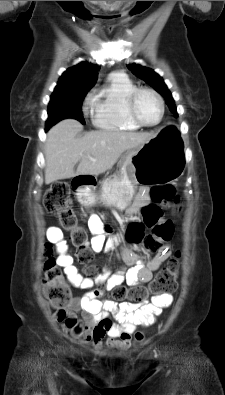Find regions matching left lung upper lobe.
<instances>
[{"instance_id": "1", "label": "left lung upper lobe", "mask_w": 225, "mask_h": 395, "mask_svg": "<svg viewBox=\"0 0 225 395\" xmlns=\"http://www.w3.org/2000/svg\"><path fill=\"white\" fill-rule=\"evenodd\" d=\"M127 67L134 75L147 82L157 92H159L165 98L166 103L172 113L176 117L178 116L172 95L168 90L166 84L164 83L163 79L158 74H156L152 69L140 66L138 64H129L127 65Z\"/></svg>"}]
</instances>
